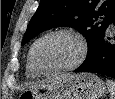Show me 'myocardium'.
I'll return each instance as SVG.
<instances>
[{
    "instance_id": "obj_1",
    "label": "myocardium",
    "mask_w": 115,
    "mask_h": 99,
    "mask_svg": "<svg viewBox=\"0 0 115 99\" xmlns=\"http://www.w3.org/2000/svg\"><path fill=\"white\" fill-rule=\"evenodd\" d=\"M56 35H69L75 38L80 47L79 55L76 58V60L73 61L69 65L60 67L55 70L45 71L42 68H40V66L37 64V61L35 58V51L40 42H42L43 40L51 36H56ZM88 52H89L88 42L86 38L80 32L73 30V29H69V28H60V29L51 30L45 33L44 35H42L41 37H39L38 39H36L30 48L29 57H30L31 65L33 69L35 70V72L38 75L49 77V76H54V75L68 72V71L78 68L87 58Z\"/></svg>"
}]
</instances>
